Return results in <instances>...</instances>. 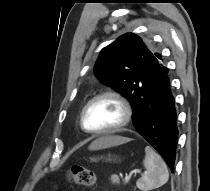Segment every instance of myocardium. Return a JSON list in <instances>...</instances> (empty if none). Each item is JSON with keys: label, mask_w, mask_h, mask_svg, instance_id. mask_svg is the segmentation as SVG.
Instances as JSON below:
<instances>
[{"label": "myocardium", "mask_w": 210, "mask_h": 191, "mask_svg": "<svg viewBox=\"0 0 210 191\" xmlns=\"http://www.w3.org/2000/svg\"><path fill=\"white\" fill-rule=\"evenodd\" d=\"M103 98H111L114 99L115 101H117L120 106L122 107L123 110V117L122 120L109 128H104V129H99V130H91L89 128H87L86 124H85V115L87 110L89 109V107L96 101L103 99ZM132 118V107L131 104L129 103V101L119 92L116 91H105L102 92L96 96H94L93 98H91L86 105L83 107L81 114H80V126L81 128L89 134H94V135H101V134H109V133H114L117 131H120L121 129H123L124 127H126L129 122L131 121Z\"/></svg>", "instance_id": "obj_1"}]
</instances>
